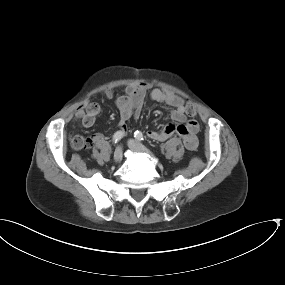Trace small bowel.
I'll use <instances>...</instances> for the list:
<instances>
[{
    "label": "small bowel",
    "mask_w": 285,
    "mask_h": 285,
    "mask_svg": "<svg viewBox=\"0 0 285 285\" xmlns=\"http://www.w3.org/2000/svg\"><path fill=\"white\" fill-rule=\"evenodd\" d=\"M147 89V84L145 83L131 84L126 87L125 94L116 100L121 132L124 133L126 131L129 119L140 115ZM104 95L106 98H112L114 92L112 89H108ZM150 98L154 102L163 103L172 108L171 119L173 122L163 128L149 130L147 136L152 140L163 141L173 135H178L181 137L183 145L187 150H195L199 144L197 136L199 123L195 119L187 120V105H185L183 99L174 93H167L160 89H153L150 93ZM100 111L101 108L97 103H83L75 109L74 118L80 119L84 126L91 127L95 123ZM88 139L90 147L95 142L100 141L102 135H91Z\"/></svg>",
    "instance_id": "1"
}]
</instances>
